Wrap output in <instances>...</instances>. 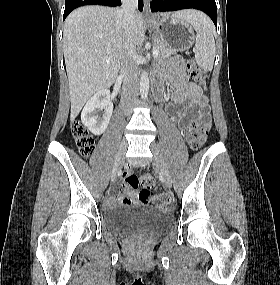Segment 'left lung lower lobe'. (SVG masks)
<instances>
[{"label": "left lung lower lobe", "mask_w": 280, "mask_h": 285, "mask_svg": "<svg viewBox=\"0 0 280 285\" xmlns=\"http://www.w3.org/2000/svg\"><path fill=\"white\" fill-rule=\"evenodd\" d=\"M152 12L176 11L181 9H198L205 12L217 26V6L215 0H167L152 1Z\"/></svg>", "instance_id": "1"}]
</instances>
